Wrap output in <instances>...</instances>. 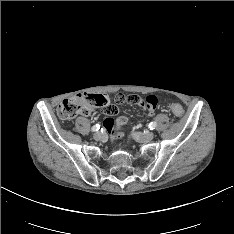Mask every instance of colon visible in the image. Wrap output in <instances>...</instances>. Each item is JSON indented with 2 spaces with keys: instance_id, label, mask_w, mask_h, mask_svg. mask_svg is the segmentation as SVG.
I'll return each instance as SVG.
<instances>
[{
  "instance_id": "colon-1",
  "label": "colon",
  "mask_w": 234,
  "mask_h": 234,
  "mask_svg": "<svg viewBox=\"0 0 234 234\" xmlns=\"http://www.w3.org/2000/svg\"><path fill=\"white\" fill-rule=\"evenodd\" d=\"M97 95L99 94H79L75 97L63 100L57 109L58 116L63 120H70L79 114L87 115L92 112H97V111L101 112V109L95 107L93 103V100L95 96ZM150 96H154V95H150ZM171 111L176 117H181L184 113L182 106L177 103L171 104Z\"/></svg>"
}]
</instances>
